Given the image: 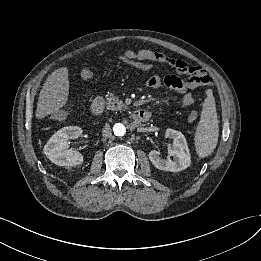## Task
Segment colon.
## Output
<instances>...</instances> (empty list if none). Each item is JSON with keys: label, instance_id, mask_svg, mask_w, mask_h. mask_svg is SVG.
<instances>
[{"label": "colon", "instance_id": "colon-1", "mask_svg": "<svg viewBox=\"0 0 261 261\" xmlns=\"http://www.w3.org/2000/svg\"><path fill=\"white\" fill-rule=\"evenodd\" d=\"M174 70L181 76L187 78V82L194 87H206L213 84L212 78L208 73L200 66H194L188 64L186 61L181 59H176L172 64ZM82 76V72H81ZM77 106L74 103L65 105L61 108L50 110L48 112V117L55 120H63L66 116L74 111ZM197 113H192L190 118L195 119Z\"/></svg>", "mask_w": 261, "mask_h": 261}]
</instances>
